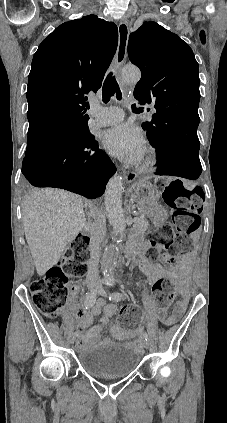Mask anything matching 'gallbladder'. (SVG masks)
Masks as SVG:
<instances>
[{"instance_id": "1", "label": "gallbladder", "mask_w": 227, "mask_h": 423, "mask_svg": "<svg viewBox=\"0 0 227 423\" xmlns=\"http://www.w3.org/2000/svg\"><path fill=\"white\" fill-rule=\"evenodd\" d=\"M28 188H30L29 184H27Z\"/></svg>"}]
</instances>
